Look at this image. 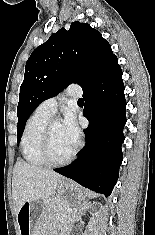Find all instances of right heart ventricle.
Returning a JSON list of instances; mask_svg holds the SVG:
<instances>
[{"label":"right heart ventricle","mask_w":155,"mask_h":235,"mask_svg":"<svg viewBox=\"0 0 155 235\" xmlns=\"http://www.w3.org/2000/svg\"><path fill=\"white\" fill-rule=\"evenodd\" d=\"M52 115L36 109L26 121L21 137V153L24 160L33 166L46 164L41 156L40 147L43 130Z\"/></svg>","instance_id":"1"}]
</instances>
